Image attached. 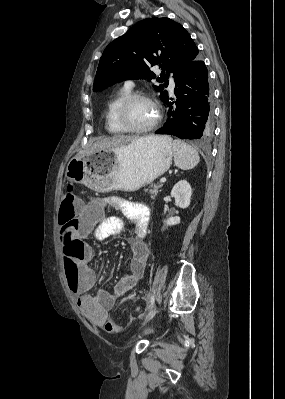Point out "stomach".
<instances>
[{"mask_svg": "<svg viewBox=\"0 0 285 399\" xmlns=\"http://www.w3.org/2000/svg\"><path fill=\"white\" fill-rule=\"evenodd\" d=\"M172 159L169 137H144L116 151L96 150L73 157L65 177L98 192L134 191L163 175Z\"/></svg>", "mask_w": 285, "mask_h": 399, "instance_id": "1", "label": "stomach"}]
</instances>
